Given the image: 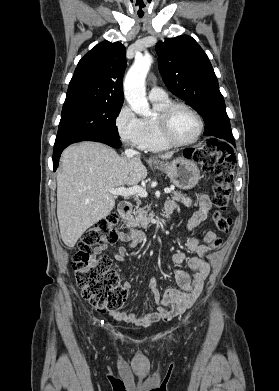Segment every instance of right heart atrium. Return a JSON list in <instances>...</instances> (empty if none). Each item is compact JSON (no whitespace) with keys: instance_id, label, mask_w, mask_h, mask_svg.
I'll return each instance as SVG.
<instances>
[{"instance_id":"d8ad5b80","label":"right heart atrium","mask_w":279,"mask_h":391,"mask_svg":"<svg viewBox=\"0 0 279 391\" xmlns=\"http://www.w3.org/2000/svg\"><path fill=\"white\" fill-rule=\"evenodd\" d=\"M114 125L122 142L141 148L144 133L142 119L127 104L118 110Z\"/></svg>"}]
</instances>
